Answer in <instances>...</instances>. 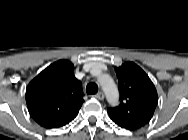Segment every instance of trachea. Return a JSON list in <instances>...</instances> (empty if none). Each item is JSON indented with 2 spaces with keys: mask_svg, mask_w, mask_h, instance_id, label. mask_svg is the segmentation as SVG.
Here are the masks:
<instances>
[{
  "mask_svg": "<svg viewBox=\"0 0 188 140\" xmlns=\"http://www.w3.org/2000/svg\"><path fill=\"white\" fill-rule=\"evenodd\" d=\"M86 92L88 94H96L98 92V86L95 83H89L86 86Z\"/></svg>",
  "mask_w": 188,
  "mask_h": 140,
  "instance_id": "3493384b",
  "label": "trachea"
}]
</instances>
